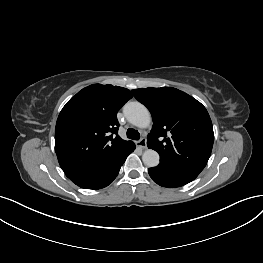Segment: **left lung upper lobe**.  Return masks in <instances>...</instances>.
<instances>
[{
	"mask_svg": "<svg viewBox=\"0 0 263 263\" xmlns=\"http://www.w3.org/2000/svg\"><path fill=\"white\" fill-rule=\"evenodd\" d=\"M151 112L153 127L147 146L160 155V164L199 174L214 142L212 122L196 99L172 87L132 90Z\"/></svg>",
	"mask_w": 263,
	"mask_h": 263,
	"instance_id": "5c2ea615",
	"label": "left lung upper lobe"
}]
</instances>
